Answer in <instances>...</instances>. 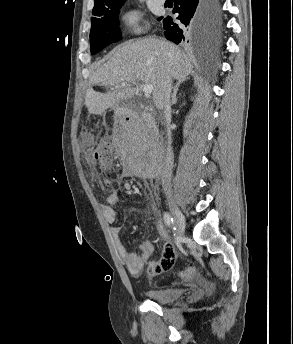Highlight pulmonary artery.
<instances>
[{"mask_svg": "<svg viewBox=\"0 0 293 344\" xmlns=\"http://www.w3.org/2000/svg\"><path fill=\"white\" fill-rule=\"evenodd\" d=\"M158 4H164L166 0H154Z\"/></svg>", "mask_w": 293, "mask_h": 344, "instance_id": "e3ab8cb5", "label": "pulmonary artery"}]
</instances>
